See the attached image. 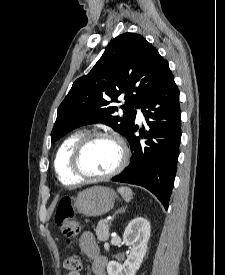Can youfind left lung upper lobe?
<instances>
[{"mask_svg":"<svg viewBox=\"0 0 225 275\" xmlns=\"http://www.w3.org/2000/svg\"><path fill=\"white\" fill-rule=\"evenodd\" d=\"M169 70L168 62L147 40L135 33L117 36L92 70L77 79L60 104L51 142L86 124L104 123L126 136L134 126L135 108ZM124 96L126 112L112 106Z\"/></svg>","mask_w":225,"mask_h":275,"instance_id":"1","label":"left lung upper lobe"}]
</instances>
